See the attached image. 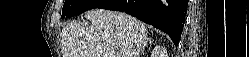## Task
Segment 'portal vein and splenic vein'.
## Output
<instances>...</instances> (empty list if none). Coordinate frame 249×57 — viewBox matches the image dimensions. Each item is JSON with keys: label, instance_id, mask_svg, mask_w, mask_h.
<instances>
[{"label": "portal vein and splenic vein", "instance_id": "obj_1", "mask_svg": "<svg viewBox=\"0 0 249 57\" xmlns=\"http://www.w3.org/2000/svg\"><path fill=\"white\" fill-rule=\"evenodd\" d=\"M104 57H109V55H104Z\"/></svg>", "mask_w": 249, "mask_h": 57}]
</instances>
